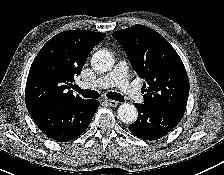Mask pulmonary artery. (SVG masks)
Instances as JSON below:
<instances>
[{
  "label": "pulmonary artery",
  "mask_w": 224,
  "mask_h": 175,
  "mask_svg": "<svg viewBox=\"0 0 224 175\" xmlns=\"http://www.w3.org/2000/svg\"><path fill=\"white\" fill-rule=\"evenodd\" d=\"M79 86L84 89H107L118 87L127 98L136 102H143L139 90L128 80V66L124 61L116 64L111 72L91 82H80Z\"/></svg>",
  "instance_id": "e3ab8cb5"
}]
</instances>
